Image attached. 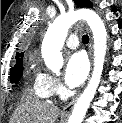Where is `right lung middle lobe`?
I'll return each instance as SVG.
<instances>
[{
    "label": "right lung middle lobe",
    "instance_id": "obj_1",
    "mask_svg": "<svg viewBox=\"0 0 122 123\" xmlns=\"http://www.w3.org/2000/svg\"><path fill=\"white\" fill-rule=\"evenodd\" d=\"M23 74V66L20 64L19 66H16L11 69L10 71V79L12 83H18L20 77Z\"/></svg>",
    "mask_w": 122,
    "mask_h": 123
}]
</instances>
